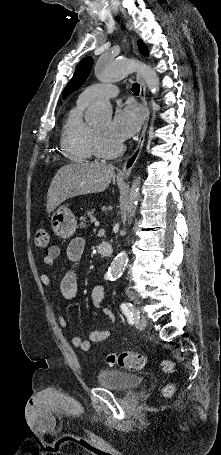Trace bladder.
<instances>
[{
	"label": "bladder",
	"instance_id": "obj_1",
	"mask_svg": "<svg viewBox=\"0 0 221 455\" xmlns=\"http://www.w3.org/2000/svg\"><path fill=\"white\" fill-rule=\"evenodd\" d=\"M97 384L113 390L128 391L138 387L142 379L140 376L103 368L100 369L96 376Z\"/></svg>",
	"mask_w": 221,
	"mask_h": 455
}]
</instances>
